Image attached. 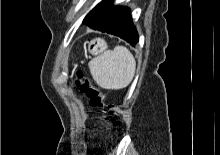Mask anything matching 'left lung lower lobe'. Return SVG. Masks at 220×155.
I'll return each mask as SVG.
<instances>
[{
    "instance_id": "0a47b994",
    "label": "left lung lower lobe",
    "mask_w": 220,
    "mask_h": 155,
    "mask_svg": "<svg viewBox=\"0 0 220 155\" xmlns=\"http://www.w3.org/2000/svg\"><path fill=\"white\" fill-rule=\"evenodd\" d=\"M112 2L103 0L99 3L86 15L83 24L94 30L118 36L135 46L139 38L131 20L130 9L114 6Z\"/></svg>"
}]
</instances>
